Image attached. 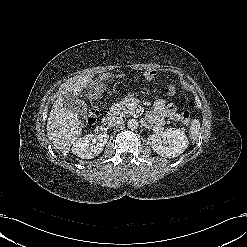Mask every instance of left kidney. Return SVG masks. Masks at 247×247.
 I'll list each match as a JSON object with an SVG mask.
<instances>
[{
    "label": "left kidney",
    "mask_w": 247,
    "mask_h": 247,
    "mask_svg": "<svg viewBox=\"0 0 247 247\" xmlns=\"http://www.w3.org/2000/svg\"><path fill=\"white\" fill-rule=\"evenodd\" d=\"M152 149L160 156L174 158L182 154L188 147V138L183 129L169 128L161 135L148 137Z\"/></svg>",
    "instance_id": "1"
}]
</instances>
